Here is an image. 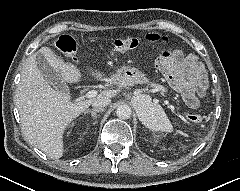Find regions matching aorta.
<instances>
[{"label": "aorta", "mask_w": 240, "mask_h": 191, "mask_svg": "<svg viewBox=\"0 0 240 191\" xmlns=\"http://www.w3.org/2000/svg\"><path fill=\"white\" fill-rule=\"evenodd\" d=\"M136 100L141 101L143 107H147L148 101L144 98V96H138L136 97ZM132 110L130 106L126 104H121L116 109V115L121 119H129L131 117Z\"/></svg>", "instance_id": "obj_1"}]
</instances>
